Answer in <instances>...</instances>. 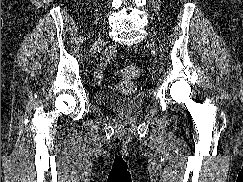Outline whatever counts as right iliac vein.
Instances as JSON below:
<instances>
[{
  "label": "right iliac vein",
  "mask_w": 243,
  "mask_h": 182,
  "mask_svg": "<svg viewBox=\"0 0 243 182\" xmlns=\"http://www.w3.org/2000/svg\"><path fill=\"white\" fill-rule=\"evenodd\" d=\"M97 47H98V41H96V42L92 45V47H91V49H90V53L95 52L96 49H97Z\"/></svg>",
  "instance_id": "obj_1"
}]
</instances>
